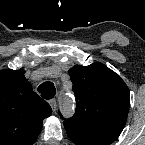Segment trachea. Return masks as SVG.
I'll list each match as a JSON object with an SVG mask.
<instances>
[{"label":"trachea","mask_w":145,"mask_h":145,"mask_svg":"<svg viewBox=\"0 0 145 145\" xmlns=\"http://www.w3.org/2000/svg\"><path fill=\"white\" fill-rule=\"evenodd\" d=\"M37 90L41 93V96L44 99H51L55 96L56 93L55 86L52 82L42 83Z\"/></svg>","instance_id":"3493384b"}]
</instances>
